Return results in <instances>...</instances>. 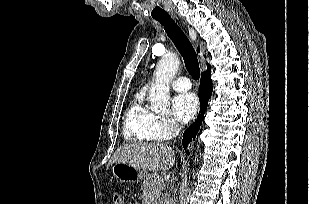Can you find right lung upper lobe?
Segmentation results:
<instances>
[{
	"label": "right lung upper lobe",
	"mask_w": 309,
	"mask_h": 204,
	"mask_svg": "<svg viewBox=\"0 0 309 204\" xmlns=\"http://www.w3.org/2000/svg\"><path fill=\"white\" fill-rule=\"evenodd\" d=\"M197 51H199V48L197 49ZM207 67H208V68H210V65H209V64H207Z\"/></svg>",
	"instance_id": "cb5924a9"
}]
</instances>
